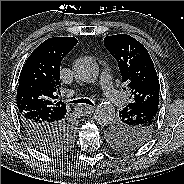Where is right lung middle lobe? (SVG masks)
Returning <instances> with one entry per match:
<instances>
[{"label":"right lung middle lobe","mask_w":184,"mask_h":184,"mask_svg":"<svg viewBox=\"0 0 184 184\" xmlns=\"http://www.w3.org/2000/svg\"><path fill=\"white\" fill-rule=\"evenodd\" d=\"M73 138H74V132H73V130L69 129L66 132L65 136L63 137L61 144L58 147H55V148L42 147L41 150H42V152H45L47 154H53V155L57 154V153L64 152L67 148L70 147L68 145H69V143H72ZM66 146H67V148H65Z\"/></svg>","instance_id":"right-lung-middle-lobe-1"}]
</instances>
